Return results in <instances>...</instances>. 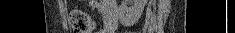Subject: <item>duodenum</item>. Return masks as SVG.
<instances>
[{
	"label": "duodenum",
	"instance_id": "1",
	"mask_svg": "<svg viewBox=\"0 0 235 33\" xmlns=\"http://www.w3.org/2000/svg\"><path fill=\"white\" fill-rule=\"evenodd\" d=\"M118 26V8L117 6L110 5L107 7L104 18V31L103 33H113Z\"/></svg>",
	"mask_w": 235,
	"mask_h": 33
}]
</instances>
